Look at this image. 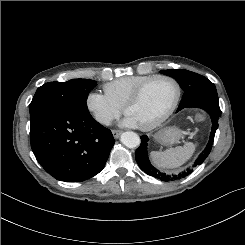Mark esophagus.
<instances>
[{
    "label": "esophagus",
    "mask_w": 245,
    "mask_h": 245,
    "mask_svg": "<svg viewBox=\"0 0 245 245\" xmlns=\"http://www.w3.org/2000/svg\"><path fill=\"white\" fill-rule=\"evenodd\" d=\"M112 134H113V137L114 138H119L120 134H121V131L119 130H112Z\"/></svg>",
    "instance_id": "1"
}]
</instances>
